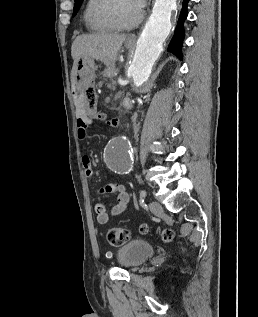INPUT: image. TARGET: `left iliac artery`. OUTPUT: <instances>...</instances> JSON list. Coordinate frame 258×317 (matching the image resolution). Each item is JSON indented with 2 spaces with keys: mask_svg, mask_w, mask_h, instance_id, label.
Returning a JSON list of instances; mask_svg holds the SVG:
<instances>
[{
  "mask_svg": "<svg viewBox=\"0 0 258 317\" xmlns=\"http://www.w3.org/2000/svg\"><path fill=\"white\" fill-rule=\"evenodd\" d=\"M146 197H147V191L146 190H141L140 191V198L142 200H144V199H146Z\"/></svg>",
  "mask_w": 258,
  "mask_h": 317,
  "instance_id": "1",
  "label": "left iliac artery"
}]
</instances>
